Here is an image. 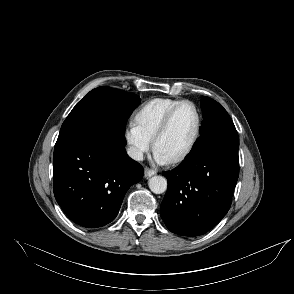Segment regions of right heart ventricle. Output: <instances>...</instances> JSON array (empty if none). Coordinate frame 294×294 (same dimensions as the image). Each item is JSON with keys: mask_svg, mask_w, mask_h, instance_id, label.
<instances>
[{"mask_svg": "<svg viewBox=\"0 0 294 294\" xmlns=\"http://www.w3.org/2000/svg\"><path fill=\"white\" fill-rule=\"evenodd\" d=\"M180 101L172 98L151 99L137 110L135 123L152 140L167 112Z\"/></svg>", "mask_w": 294, "mask_h": 294, "instance_id": "1", "label": "right heart ventricle"}]
</instances>
